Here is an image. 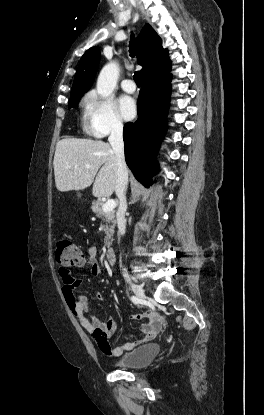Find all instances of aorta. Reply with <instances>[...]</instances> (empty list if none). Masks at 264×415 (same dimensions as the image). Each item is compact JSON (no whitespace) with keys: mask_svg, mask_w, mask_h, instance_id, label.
Instances as JSON below:
<instances>
[{"mask_svg":"<svg viewBox=\"0 0 264 415\" xmlns=\"http://www.w3.org/2000/svg\"><path fill=\"white\" fill-rule=\"evenodd\" d=\"M119 76V66L116 62L106 64L97 79V93L108 97L114 90Z\"/></svg>","mask_w":264,"mask_h":415,"instance_id":"1","label":"aorta"}]
</instances>
